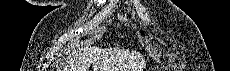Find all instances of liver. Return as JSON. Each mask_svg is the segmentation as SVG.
<instances>
[{
  "mask_svg": "<svg viewBox=\"0 0 230 71\" xmlns=\"http://www.w3.org/2000/svg\"><path fill=\"white\" fill-rule=\"evenodd\" d=\"M66 71H142L145 61L140 55L127 54L116 49L79 47L68 57Z\"/></svg>",
  "mask_w": 230,
  "mask_h": 71,
  "instance_id": "obj_1",
  "label": "liver"
}]
</instances>
